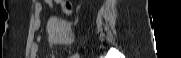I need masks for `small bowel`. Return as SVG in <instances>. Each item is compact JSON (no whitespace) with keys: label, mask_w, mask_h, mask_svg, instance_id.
Here are the masks:
<instances>
[{"label":"small bowel","mask_w":181,"mask_h":58,"mask_svg":"<svg viewBox=\"0 0 181 58\" xmlns=\"http://www.w3.org/2000/svg\"><path fill=\"white\" fill-rule=\"evenodd\" d=\"M48 4L50 5H56L57 7H59L63 13L65 14H69L72 11V6L71 3L69 1L66 0H45ZM42 11V4L40 2H37L35 5V13L36 15H39ZM38 28V25H37ZM71 35L67 34L64 39L63 42L64 43H70L71 42ZM39 45L37 43H33L31 46V54H32V58H37V54L39 52Z\"/></svg>","instance_id":"obj_1"}]
</instances>
